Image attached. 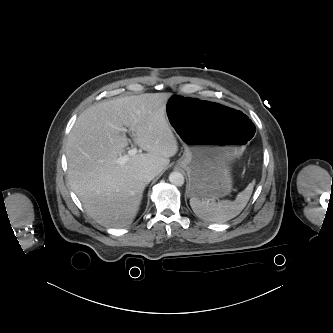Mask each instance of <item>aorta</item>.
Returning <instances> with one entry per match:
<instances>
[{
	"label": "aorta",
	"instance_id": "obj_1",
	"mask_svg": "<svg viewBox=\"0 0 333 333\" xmlns=\"http://www.w3.org/2000/svg\"><path fill=\"white\" fill-rule=\"evenodd\" d=\"M169 181L175 186H182L184 184V176L180 172H172L169 175Z\"/></svg>",
	"mask_w": 333,
	"mask_h": 333
}]
</instances>
